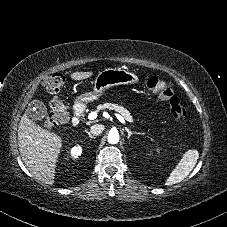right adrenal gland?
I'll return each mask as SVG.
<instances>
[{
	"instance_id": "1",
	"label": "right adrenal gland",
	"mask_w": 227,
	"mask_h": 227,
	"mask_svg": "<svg viewBox=\"0 0 227 227\" xmlns=\"http://www.w3.org/2000/svg\"><path fill=\"white\" fill-rule=\"evenodd\" d=\"M87 134H88V136L90 137V138H92V139H96V137L95 136H93L90 132H88V131H85Z\"/></svg>"
}]
</instances>
